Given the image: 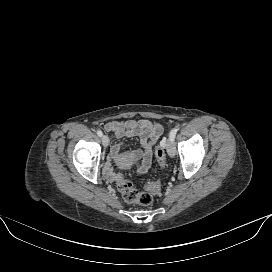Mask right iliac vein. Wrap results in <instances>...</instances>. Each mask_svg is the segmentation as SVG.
<instances>
[{
    "label": "right iliac vein",
    "instance_id": "obj_1",
    "mask_svg": "<svg viewBox=\"0 0 272 272\" xmlns=\"http://www.w3.org/2000/svg\"><path fill=\"white\" fill-rule=\"evenodd\" d=\"M101 140H102L103 146H104V147H107L108 144H109V138H108L106 135H103V136L101 137Z\"/></svg>",
    "mask_w": 272,
    "mask_h": 272
}]
</instances>
